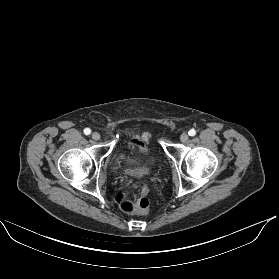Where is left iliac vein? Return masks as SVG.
<instances>
[{"mask_svg":"<svg viewBox=\"0 0 279 279\" xmlns=\"http://www.w3.org/2000/svg\"><path fill=\"white\" fill-rule=\"evenodd\" d=\"M188 139H189V136H188V134H187V133H183V134H181V136H180V140H181V142H187V141H188Z\"/></svg>","mask_w":279,"mask_h":279,"instance_id":"4c4485c4","label":"left iliac vein"}]
</instances>
